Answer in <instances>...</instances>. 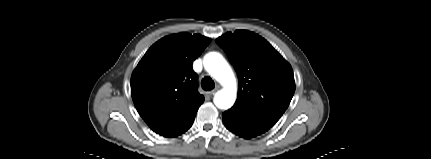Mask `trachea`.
I'll return each mask as SVG.
<instances>
[{
  "label": "trachea",
  "mask_w": 431,
  "mask_h": 159,
  "mask_svg": "<svg viewBox=\"0 0 431 159\" xmlns=\"http://www.w3.org/2000/svg\"><path fill=\"white\" fill-rule=\"evenodd\" d=\"M201 87L206 91H210L214 89L215 83L210 77L206 76L201 81Z\"/></svg>",
  "instance_id": "3493384b"
}]
</instances>
